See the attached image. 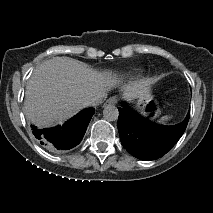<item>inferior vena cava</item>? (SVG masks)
<instances>
[{
    "label": "inferior vena cava",
    "instance_id": "obj_1",
    "mask_svg": "<svg viewBox=\"0 0 213 213\" xmlns=\"http://www.w3.org/2000/svg\"><path fill=\"white\" fill-rule=\"evenodd\" d=\"M107 96L106 92H101L94 95L85 101L86 106H97L102 103L103 99Z\"/></svg>",
    "mask_w": 213,
    "mask_h": 213
}]
</instances>
